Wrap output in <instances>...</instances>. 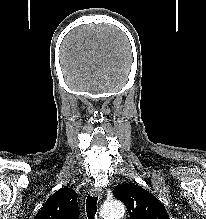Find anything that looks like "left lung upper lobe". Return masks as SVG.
Here are the masks:
<instances>
[{
	"label": "left lung upper lobe",
	"mask_w": 206,
	"mask_h": 219,
	"mask_svg": "<svg viewBox=\"0 0 206 219\" xmlns=\"http://www.w3.org/2000/svg\"><path fill=\"white\" fill-rule=\"evenodd\" d=\"M113 194L126 205L130 219H170L164 205L141 186L119 184Z\"/></svg>",
	"instance_id": "left-lung-upper-lobe-1"
}]
</instances>
